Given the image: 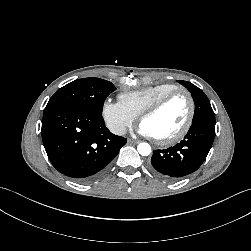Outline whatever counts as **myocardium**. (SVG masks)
Instances as JSON below:
<instances>
[{
  "mask_svg": "<svg viewBox=\"0 0 251 251\" xmlns=\"http://www.w3.org/2000/svg\"><path fill=\"white\" fill-rule=\"evenodd\" d=\"M184 95L189 103V112L187 119L184 123V125L181 127V129L173 134L172 136H169L167 138H155V142L159 145L166 146L174 144L181 139H183L186 134L189 132L194 116H195V101L191 93L184 89V88H177L173 91L168 92L167 94L160 97L158 100H156L152 105H150L148 108H146L138 117L139 123H141L145 118L150 117L154 114H156L159 110H161L172 98H174L177 95Z\"/></svg>",
  "mask_w": 251,
  "mask_h": 251,
  "instance_id": "myocardium-1",
  "label": "myocardium"
}]
</instances>
